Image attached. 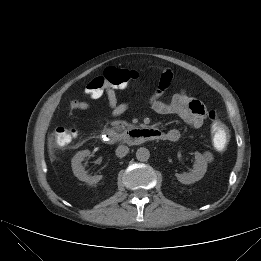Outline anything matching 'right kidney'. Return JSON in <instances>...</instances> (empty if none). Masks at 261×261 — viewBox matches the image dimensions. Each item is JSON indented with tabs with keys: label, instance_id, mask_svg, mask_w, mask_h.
Instances as JSON below:
<instances>
[{
	"label": "right kidney",
	"instance_id": "right-kidney-1",
	"mask_svg": "<svg viewBox=\"0 0 261 261\" xmlns=\"http://www.w3.org/2000/svg\"><path fill=\"white\" fill-rule=\"evenodd\" d=\"M90 155L89 150L79 151L72 158V170L74 175L81 181L87 182L89 184H96L102 179V175L89 176L85 172V168L82 166L81 162L83 159Z\"/></svg>",
	"mask_w": 261,
	"mask_h": 261
}]
</instances>
